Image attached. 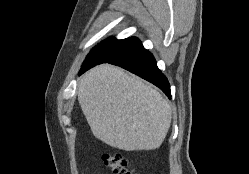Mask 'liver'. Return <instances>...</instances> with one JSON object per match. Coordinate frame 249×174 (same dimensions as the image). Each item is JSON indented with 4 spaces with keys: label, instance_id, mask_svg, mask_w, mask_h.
<instances>
[{
    "label": "liver",
    "instance_id": "liver-1",
    "mask_svg": "<svg viewBox=\"0 0 249 174\" xmlns=\"http://www.w3.org/2000/svg\"><path fill=\"white\" fill-rule=\"evenodd\" d=\"M78 101L95 137L114 148L154 150L170 128L171 107L163 96L110 64L80 78Z\"/></svg>",
    "mask_w": 249,
    "mask_h": 174
}]
</instances>
